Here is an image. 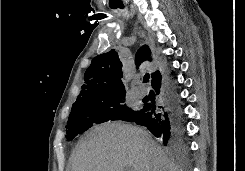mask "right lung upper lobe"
<instances>
[{"label":"right lung upper lobe","instance_id":"obj_1","mask_svg":"<svg viewBox=\"0 0 245 171\" xmlns=\"http://www.w3.org/2000/svg\"><path fill=\"white\" fill-rule=\"evenodd\" d=\"M150 54L151 51L147 45L141 47L136 54V64L140 65L145 60L151 61ZM151 76L154 83L161 74L156 71ZM122 77V63L114 49L94 57L85 72V84L76 101L125 93Z\"/></svg>","mask_w":245,"mask_h":171}]
</instances>
